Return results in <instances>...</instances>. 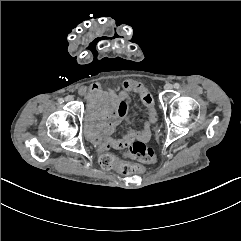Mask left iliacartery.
<instances>
[{
    "mask_svg": "<svg viewBox=\"0 0 241 241\" xmlns=\"http://www.w3.org/2000/svg\"><path fill=\"white\" fill-rule=\"evenodd\" d=\"M179 87H180V84H179V83H175V84H174V88H175V89H178Z\"/></svg>",
    "mask_w": 241,
    "mask_h": 241,
    "instance_id": "44dca946",
    "label": "left iliac artery"
}]
</instances>
